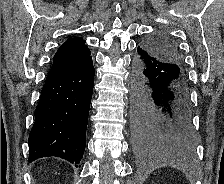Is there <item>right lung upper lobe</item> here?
<instances>
[{
  "label": "right lung upper lobe",
  "mask_w": 224,
  "mask_h": 184,
  "mask_svg": "<svg viewBox=\"0 0 224 184\" xmlns=\"http://www.w3.org/2000/svg\"><path fill=\"white\" fill-rule=\"evenodd\" d=\"M90 55L91 52L82 38H69L54 55L48 75H59L80 70L92 61Z\"/></svg>",
  "instance_id": "right-lung-upper-lobe-1"
}]
</instances>
